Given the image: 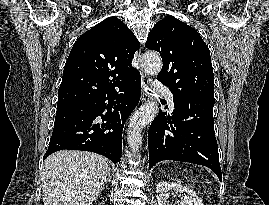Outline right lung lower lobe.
Listing matches in <instances>:
<instances>
[{"label":"right lung lower lobe","mask_w":269,"mask_h":205,"mask_svg":"<svg viewBox=\"0 0 269 205\" xmlns=\"http://www.w3.org/2000/svg\"><path fill=\"white\" fill-rule=\"evenodd\" d=\"M140 94L141 77L137 71L114 92L57 105L54 129L44 159L58 150L69 149L95 152L119 163L124 123L137 106ZM98 117L102 122H98Z\"/></svg>","instance_id":"1"}]
</instances>
